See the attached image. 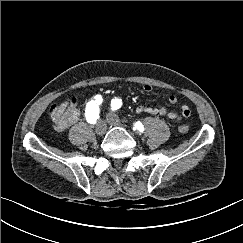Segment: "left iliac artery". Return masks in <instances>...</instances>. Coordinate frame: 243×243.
Listing matches in <instances>:
<instances>
[{
    "instance_id": "1",
    "label": "left iliac artery",
    "mask_w": 243,
    "mask_h": 243,
    "mask_svg": "<svg viewBox=\"0 0 243 243\" xmlns=\"http://www.w3.org/2000/svg\"><path fill=\"white\" fill-rule=\"evenodd\" d=\"M121 105H122V102L120 99H113L111 102V109L115 111V110L119 109L121 107ZM135 129H138L141 132L144 130L143 125L141 123H137L134 127V130Z\"/></svg>"
}]
</instances>
